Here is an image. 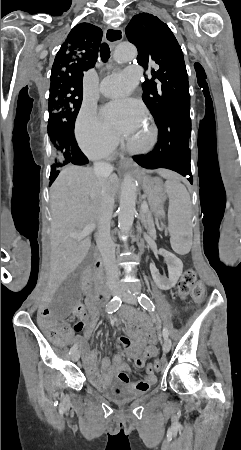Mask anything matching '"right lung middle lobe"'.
Returning <instances> with one entry per match:
<instances>
[{"mask_svg":"<svg viewBox=\"0 0 241 450\" xmlns=\"http://www.w3.org/2000/svg\"><path fill=\"white\" fill-rule=\"evenodd\" d=\"M83 89L70 85L50 87L48 134L51 144V172L70 164L69 148L63 133H74L82 103Z\"/></svg>","mask_w":241,"mask_h":450,"instance_id":"obj_1","label":"right lung middle lobe"}]
</instances>
